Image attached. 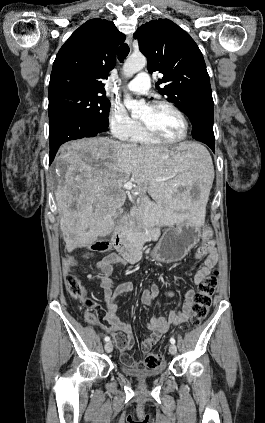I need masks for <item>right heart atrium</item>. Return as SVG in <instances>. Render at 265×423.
I'll use <instances>...</instances> for the list:
<instances>
[{
	"label": "right heart atrium",
	"mask_w": 265,
	"mask_h": 423,
	"mask_svg": "<svg viewBox=\"0 0 265 423\" xmlns=\"http://www.w3.org/2000/svg\"><path fill=\"white\" fill-rule=\"evenodd\" d=\"M108 120L112 134L123 141H129L139 126V123L130 118L122 106L116 104L111 106Z\"/></svg>",
	"instance_id": "d8ad5b80"
}]
</instances>
